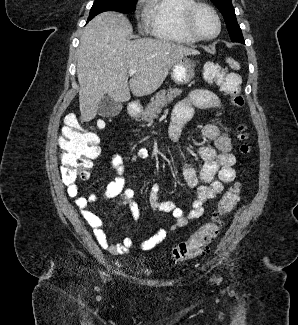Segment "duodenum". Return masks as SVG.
<instances>
[{
  "mask_svg": "<svg viewBox=\"0 0 298 325\" xmlns=\"http://www.w3.org/2000/svg\"><path fill=\"white\" fill-rule=\"evenodd\" d=\"M129 114L131 116H136L139 112V106L136 103H130L128 108Z\"/></svg>",
  "mask_w": 298,
  "mask_h": 325,
  "instance_id": "duodenum-1",
  "label": "duodenum"
}]
</instances>
